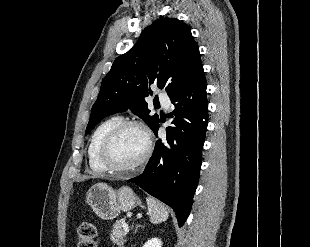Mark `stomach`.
Masks as SVG:
<instances>
[{
  "mask_svg": "<svg viewBox=\"0 0 310 247\" xmlns=\"http://www.w3.org/2000/svg\"><path fill=\"white\" fill-rule=\"evenodd\" d=\"M86 202L103 220H113L121 211L127 212L141 204V200L127 186L118 190L106 183H96L86 193Z\"/></svg>",
  "mask_w": 310,
  "mask_h": 247,
  "instance_id": "stomach-1",
  "label": "stomach"
}]
</instances>
